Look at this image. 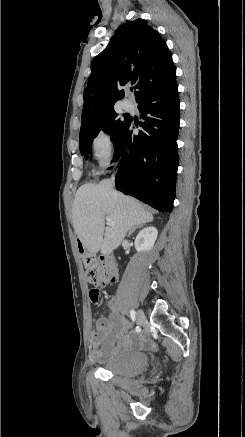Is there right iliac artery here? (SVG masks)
I'll use <instances>...</instances> for the list:
<instances>
[{"instance_id":"obj_1","label":"right iliac artery","mask_w":245,"mask_h":437,"mask_svg":"<svg viewBox=\"0 0 245 437\" xmlns=\"http://www.w3.org/2000/svg\"><path fill=\"white\" fill-rule=\"evenodd\" d=\"M130 316H131V319H132L133 321L136 320V312H135L134 310H131V311H130Z\"/></svg>"}]
</instances>
